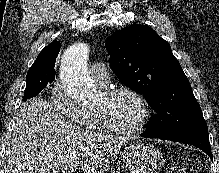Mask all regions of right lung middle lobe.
<instances>
[{"label":"right lung middle lobe","mask_w":219,"mask_h":173,"mask_svg":"<svg viewBox=\"0 0 219 173\" xmlns=\"http://www.w3.org/2000/svg\"><path fill=\"white\" fill-rule=\"evenodd\" d=\"M55 76L44 72L39 67H30L26 76V89L23 96V101L38 95L44 88L49 86Z\"/></svg>","instance_id":"1"}]
</instances>
